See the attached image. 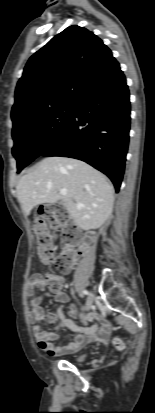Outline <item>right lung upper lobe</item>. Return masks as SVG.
<instances>
[{
    "label": "right lung upper lobe",
    "instance_id": "cb5924a9",
    "mask_svg": "<svg viewBox=\"0 0 155 413\" xmlns=\"http://www.w3.org/2000/svg\"><path fill=\"white\" fill-rule=\"evenodd\" d=\"M118 68L111 50L93 32L76 25L66 28L28 60L15 90L13 128L75 103Z\"/></svg>",
    "mask_w": 155,
    "mask_h": 413
}]
</instances>
